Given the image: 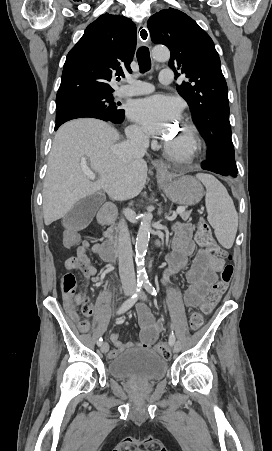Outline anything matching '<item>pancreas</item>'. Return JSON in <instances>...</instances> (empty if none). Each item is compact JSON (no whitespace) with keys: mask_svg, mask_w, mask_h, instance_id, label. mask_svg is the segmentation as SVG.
<instances>
[{"mask_svg":"<svg viewBox=\"0 0 272 451\" xmlns=\"http://www.w3.org/2000/svg\"><path fill=\"white\" fill-rule=\"evenodd\" d=\"M191 212H182V214H180L182 220H188L189 216H190ZM105 235L106 237H110V239H113V241H115V243H117V239H118V227L117 226H111L108 227L107 231H105Z\"/></svg>","mask_w":272,"mask_h":451,"instance_id":"obj_1","label":"pancreas"}]
</instances>
